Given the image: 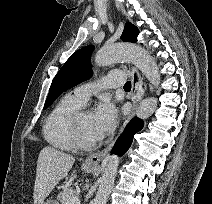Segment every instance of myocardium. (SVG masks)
Segmentation results:
<instances>
[{"instance_id": "f54148a6", "label": "myocardium", "mask_w": 212, "mask_h": 204, "mask_svg": "<svg viewBox=\"0 0 212 204\" xmlns=\"http://www.w3.org/2000/svg\"><path fill=\"white\" fill-rule=\"evenodd\" d=\"M91 112H92L91 109L81 107L80 109L75 111L68 120V132L74 146L77 149L86 150V151L92 150L96 148L99 144V140L94 142H88L84 140V138L81 135V131H80L81 119L85 114H88Z\"/></svg>"}]
</instances>
